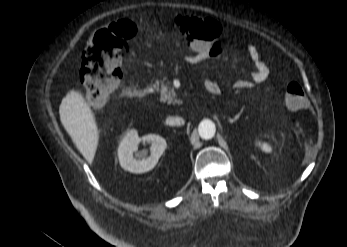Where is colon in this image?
<instances>
[{
    "instance_id": "1",
    "label": "colon",
    "mask_w": 347,
    "mask_h": 247,
    "mask_svg": "<svg viewBox=\"0 0 347 247\" xmlns=\"http://www.w3.org/2000/svg\"><path fill=\"white\" fill-rule=\"evenodd\" d=\"M176 30L194 50H204L222 33L220 24L211 18L182 15L176 20ZM137 32L136 25L119 19L97 31L86 46L80 60V78L88 99L94 106L102 105L117 88L122 77L124 49ZM285 104L293 110L307 106L302 85L290 82L285 89Z\"/></svg>"
}]
</instances>
